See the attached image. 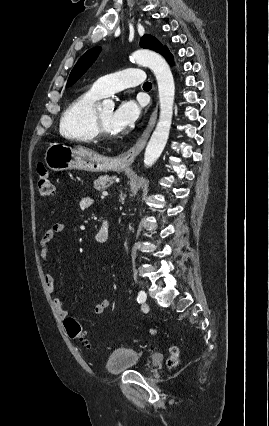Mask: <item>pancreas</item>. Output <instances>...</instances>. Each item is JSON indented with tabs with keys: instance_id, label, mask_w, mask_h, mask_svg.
<instances>
[{
	"instance_id": "obj_1",
	"label": "pancreas",
	"mask_w": 269,
	"mask_h": 426,
	"mask_svg": "<svg viewBox=\"0 0 269 426\" xmlns=\"http://www.w3.org/2000/svg\"><path fill=\"white\" fill-rule=\"evenodd\" d=\"M114 179H115V177H113V176H108V175L99 176L94 181V188L97 191H103L113 184Z\"/></svg>"
}]
</instances>
